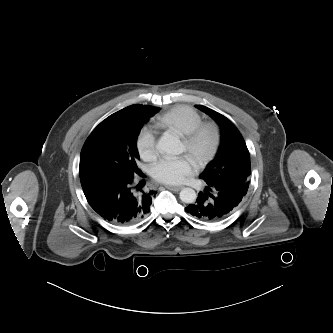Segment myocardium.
<instances>
[{"label":"myocardium","instance_id":"obj_1","mask_svg":"<svg viewBox=\"0 0 333 333\" xmlns=\"http://www.w3.org/2000/svg\"><path fill=\"white\" fill-rule=\"evenodd\" d=\"M206 134L210 135L211 142L207 151L201 153L199 145ZM182 140L186 145L188 153L194 156L197 167L203 168L217 156L222 143V131L216 122L206 121L200 123L191 132L182 136Z\"/></svg>","mask_w":333,"mask_h":333}]
</instances>
